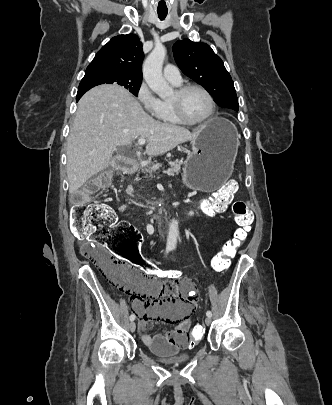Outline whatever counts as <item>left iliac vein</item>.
Here are the masks:
<instances>
[{"mask_svg": "<svg viewBox=\"0 0 332 405\" xmlns=\"http://www.w3.org/2000/svg\"><path fill=\"white\" fill-rule=\"evenodd\" d=\"M211 323H212L211 317H206V319H205V324H206V325H210Z\"/></svg>", "mask_w": 332, "mask_h": 405, "instance_id": "obj_1", "label": "left iliac vein"}]
</instances>
